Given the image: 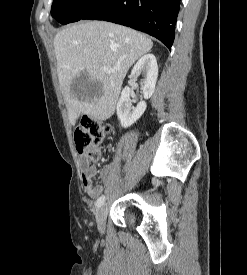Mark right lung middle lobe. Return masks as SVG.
Listing matches in <instances>:
<instances>
[{
	"instance_id": "obj_1",
	"label": "right lung middle lobe",
	"mask_w": 247,
	"mask_h": 275,
	"mask_svg": "<svg viewBox=\"0 0 247 275\" xmlns=\"http://www.w3.org/2000/svg\"><path fill=\"white\" fill-rule=\"evenodd\" d=\"M102 0H53L51 14L59 23L65 25L76 22Z\"/></svg>"
}]
</instances>
